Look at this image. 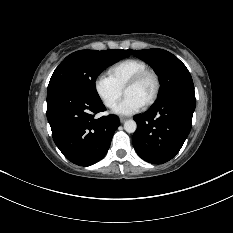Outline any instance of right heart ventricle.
<instances>
[{"label": "right heart ventricle", "instance_id": "e07e8e85", "mask_svg": "<svg viewBox=\"0 0 233 233\" xmlns=\"http://www.w3.org/2000/svg\"><path fill=\"white\" fill-rule=\"evenodd\" d=\"M148 68L145 61L129 58L122 60L108 70V76L116 83V85L123 90L126 83L137 73Z\"/></svg>", "mask_w": 233, "mask_h": 233}]
</instances>
